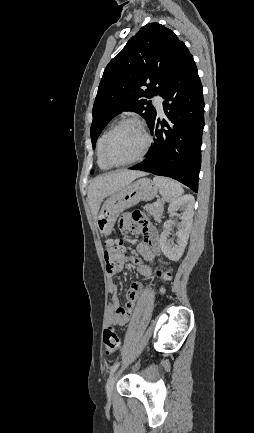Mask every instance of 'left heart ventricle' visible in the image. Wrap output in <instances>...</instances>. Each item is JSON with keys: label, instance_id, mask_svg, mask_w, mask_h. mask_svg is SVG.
I'll return each instance as SVG.
<instances>
[{"label": "left heart ventricle", "instance_id": "left-heart-ventricle-1", "mask_svg": "<svg viewBox=\"0 0 254 433\" xmlns=\"http://www.w3.org/2000/svg\"><path fill=\"white\" fill-rule=\"evenodd\" d=\"M145 138L140 129L127 124L117 130L106 147V156L115 163H122L135 158L143 149Z\"/></svg>", "mask_w": 254, "mask_h": 433}]
</instances>
